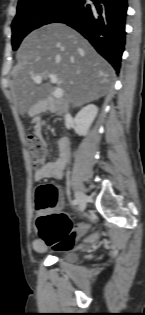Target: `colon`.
I'll list each match as a JSON object with an SVG mask.
<instances>
[{
	"label": "colon",
	"mask_w": 145,
	"mask_h": 315,
	"mask_svg": "<svg viewBox=\"0 0 145 315\" xmlns=\"http://www.w3.org/2000/svg\"><path fill=\"white\" fill-rule=\"evenodd\" d=\"M33 165H44L46 148L43 139L36 133L27 136ZM61 190L55 184H43L36 189L35 208L37 212L36 229L39 238L50 247L58 250L72 248L85 226L74 227L69 217L59 210Z\"/></svg>",
	"instance_id": "colon-1"
}]
</instances>
